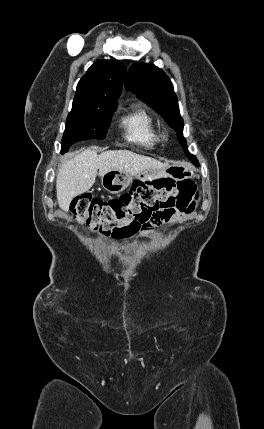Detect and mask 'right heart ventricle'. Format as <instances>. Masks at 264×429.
I'll list each match as a JSON object with an SVG mask.
<instances>
[{
  "label": "right heart ventricle",
  "mask_w": 264,
  "mask_h": 429,
  "mask_svg": "<svg viewBox=\"0 0 264 429\" xmlns=\"http://www.w3.org/2000/svg\"><path fill=\"white\" fill-rule=\"evenodd\" d=\"M124 137L136 144L153 147L160 140V133L152 114L143 106L136 105L121 118Z\"/></svg>",
  "instance_id": "e07e8e85"
}]
</instances>
